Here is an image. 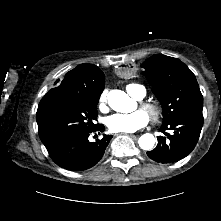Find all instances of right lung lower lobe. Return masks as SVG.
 Segmentation results:
<instances>
[{
  "label": "right lung lower lobe",
  "mask_w": 221,
  "mask_h": 221,
  "mask_svg": "<svg viewBox=\"0 0 221 221\" xmlns=\"http://www.w3.org/2000/svg\"><path fill=\"white\" fill-rule=\"evenodd\" d=\"M105 130L102 124L70 141L56 151L50 152L49 155L53 161L62 168L71 171H83L96 165L105 152L107 145L112 136L104 135L102 139L90 142L88 137L90 132Z\"/></svg>",
  "instance_id": "98d812e1"
}]
</instances>
